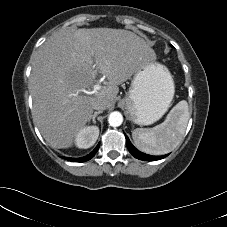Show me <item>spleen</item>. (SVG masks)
<instances>
[{
	"mask_svg": "<svg viewBox=\"0 0 227 227\" xmlns=\"http://www.w3.org/2000/svg\"><path fill=\"white\" fill-rule=\"evenodd\" d=\"M188 103H177L165 121L153 128H136L132 132L135 146L144 153L163 155L177 147L185 133L189 120Z\"/></svg>",
	"mask_w": 227,
	"mask_h": 227,
	"instance_id": "spleen-1",
	"label": "spleen"
}]
</instances>
